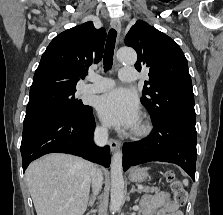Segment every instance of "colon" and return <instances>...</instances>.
Here are the masks:
<instances>
[{
    "label": "colon",
    "mask_w": 223,
    "mask_h": 215,
    "mask_svg": "<svg viewBox=\"0 0 223 215\" xmlns=\"http://www.w3.org/2000/svg\"><path fill=\"white\" fill-rule=\"evenodd\" d=\"M166 178L171 183V188L176 204L180 206L184 205L187 201V192L184 189L181 181L176 177L173 171H167Z\"/></svg>",
    "instance_id": "obj_1"
}]
</instances>
